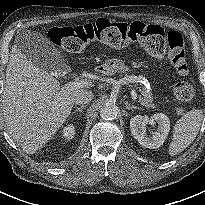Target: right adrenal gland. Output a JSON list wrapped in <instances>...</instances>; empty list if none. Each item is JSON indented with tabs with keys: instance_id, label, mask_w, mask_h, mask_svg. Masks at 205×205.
Masks as SVG:
<instances>
[{
	"instance_id": "2a0ac1e0",
	"label": "right adrenal gland",
	"mask_w": 205,
	"mask_h": 205,
	"mask_svg": "<svg viewBox=\"0 0 205 205\" xmlns=\"http://www.w3.org/2000/svg\"><path fill=\"white\" fill-rule=\"evenodd\" d=\"M84 107H85L84 105L81 107H76V109L72 112V114L76 113L77 111H79L81 113L83 111Z\"/></svg>"
}]
</instances>
